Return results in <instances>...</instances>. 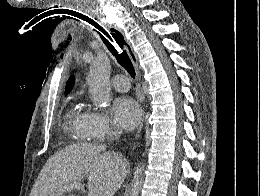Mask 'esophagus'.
Masks as SVG:
<instances>
[{"label": "esophagus", "mask_w": 260, "mask_h": 196, "mask_svg": "<svg viewBox=\"0 0 260 196\" xmlns=\"http://www.w3.org/2000/svg\"><path fill=\"white\" fill-rule=\"evenodd\" d=\"M117 30L122 35H124V32L120 28H117ZM123 37H124L125 42H126L125 49H126L127 53L129 54V57L131 58L136 71L138 72V58H137V55H136L135 51L133 50L130 41L126 39L125 35ZM143 123H144V120H142V122L140 124V127H139V129H138V131L136 133V138H138L140 136V133H141L142 128H143Z\"/></svg>", "instance_id": "34e87169"}]
</instances>
